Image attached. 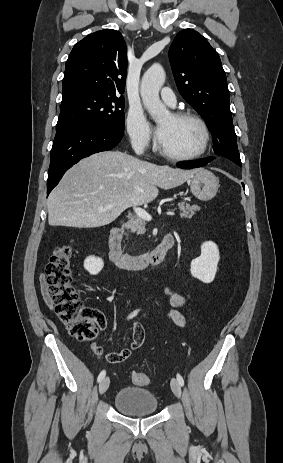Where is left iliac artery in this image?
Returning <instances> with one entry per match:
<instances>
[{"mask_svg":"<svg viewBox=\"0 0 283 463\" xmlns=\"http://www.w3.org/2000/svg\"><path fill=\"white\" fill-rule=\"evenodd\" d=\"M177 380H178V382L180 383L181 386L184 385V380H183V378H182V376L180 374H177Z\"/></svg>","mask_w":283,"mask_h":463,"instance_id":"left-iliac-artery-1","label":"left iliac artery"}]
</instances>
